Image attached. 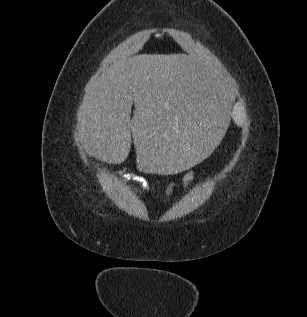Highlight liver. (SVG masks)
Returning <instances> with one entry per match:
<instances>
[{
	"instance_id": "liver-1",
	"label": "liver",
	"mask_w": 307,
	"mask_h": 317,
	"mask_svg": "<svg viewBox=\"0 0 307 317\" xmlns=\"http://www.w3.org/2000/svg\"><path fill=\"white\" fill-rule=\"evenodd\" d=\"M226 78L185 54L123 59L88 84L75 140L88 154L121 163L132 135L139 172L183 175L223 142L231 101Z\"/></svg>"
}]
</instances>
